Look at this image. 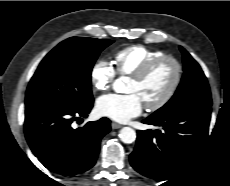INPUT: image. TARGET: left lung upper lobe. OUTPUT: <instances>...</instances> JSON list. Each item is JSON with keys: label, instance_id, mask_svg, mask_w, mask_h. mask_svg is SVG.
<instances>
[{"label": "left lung upper lobe", "instance_id": "1", "mask_svg": "<svg viewBox=\"0 0 230 186\" xmlns=\"http://www.w3.org/2000/svg\"><path fill=\"white\" fill-rule=\"evenodd\" d=\"M180 50L184 62L181 83L170 101L153 116H165L191 108H209L212 105L209 85L201 67L183 47Z\"/></svg>", "mask_w": 230, "mask_h": 186}]
</instances>
